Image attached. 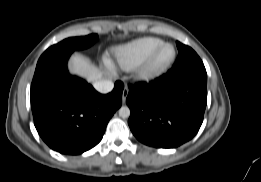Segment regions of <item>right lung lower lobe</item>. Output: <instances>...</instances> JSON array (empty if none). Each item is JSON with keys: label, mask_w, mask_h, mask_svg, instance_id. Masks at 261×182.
<instances>
[{"label": "right lung lower lobe", "mask_w": 261, "mask_h": 182, "mask_svg": "<svg viewBox=\"0 0 261 182\" xmlns=\"http://www.w3.org/2000/svg\"><path fill=\"white\" fill-rule=\"evenodd\" d=\"M72 52L37 63L31 84L35 127L43 141L61 154H81L97 145L108 121L121 106L123 84L102 95L72 76L67 61Z\"/></svg>", "instance_id": "obj_1"}]
</instances>
